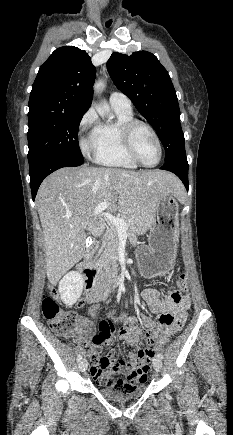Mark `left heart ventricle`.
Instances as JSON below:
<instances>
[{"instance_id": "b2bd125f", "label": "left heart ventricle", "mask_w": 233, "mask_h": 435, "mask_svg": "<svg viewBox=\"0 0 233 435\" xmlns=\"http://www.w3.org/2000/svg\"><path fill=\"white\" fill-rule=\"evenodd\" d=\"M133 142L140 159L148 165H153L158 161L159 151L154 138L143 126L136 128L133 134Z\"/></svg>"}]
</instances>
